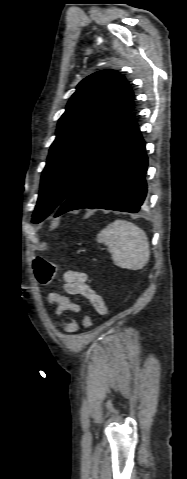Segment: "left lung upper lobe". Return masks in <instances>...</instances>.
I'll return each mask as SVG.
<instances>
[{
  "label": "left lung upper lobe",
  "mask_w": 187,
  "mask_h": 479,
  "mask_svg": "<svg viewBox=\"0 0 187 479\" xmlns=\"http://www.w3.org/2000/svg\"><path fill=\"white\" fill-rule=\"evenodd\" d=\"M133 109L130 85L115 70L98 71L78 84L57 125L33 223L44 220L70 196L89 168L115 142Z\"/></svg>",
  "instance_id": "left-lung-upper-lobe-1"
}]
</instances>
